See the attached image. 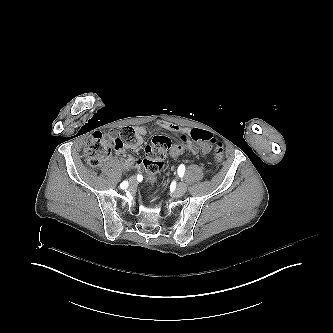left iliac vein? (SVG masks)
<instances>
[{
  "instance_id": "4c4485c4",
  "label": "left iliac vein",
  "mask_w": 333,
  "mask_h": 333,
  "mask_svg": "<svg viewBox=\"0 0 333 333\" xmlns=\"http://www.w3.org/2000/svg\"><path fill=\"white\" fill-rule=\"evenodd\" d=\"M187 190V186L185 183L183 182H180L177 186V189H176V194L177 195H183Z\"/></svg>"
}]
</instances>
